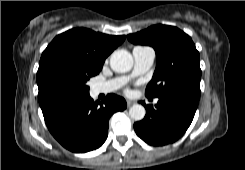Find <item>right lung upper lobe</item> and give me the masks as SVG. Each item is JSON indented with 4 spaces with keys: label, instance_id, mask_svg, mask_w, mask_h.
Masks as SVG:
<instances>
[{
    "label": "right lung upper lobe",
    "instance_id": "right-lung-upper-lobe-1",
    "mask_svg": "<svg viewBox=\"0 0 245 170\" xmlns=\"http://www.w3.org/2000/svg\"><path fill=\"white\" fill-rule=\"evenodd\" d=\"M125 36H111L86 28H74L57 35L42 53L38 72L53 62L89 71H101L106 57ZM37 72V73H38Z\"/></svg>",
    "mask_w": 245,
    "mask_h": 170
}]
</instances>
